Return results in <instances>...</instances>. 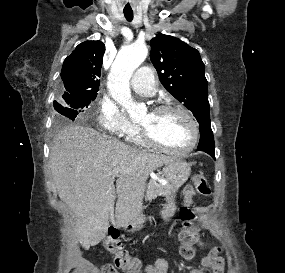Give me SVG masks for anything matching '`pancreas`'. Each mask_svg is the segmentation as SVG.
<instances>
[{
	"label": "pancreas",
	"mask_w": 285,
	"mask_h": 273,
	"mask_svg": "<svg viewBox=\"0 0 285 273\" xmlns=\"http://www.w3.org/2000/svg\"><path fill=\"white\" fill-rule=\"evenodd\" d=\"M171 192L172 188L169 184L162 185L161 183H158L156 180L152 179L147 185L146 200L156 199L157 196L169 197Z\"/></svg>",
	"instance_id": "pancreas-1"
}]
</instances>
